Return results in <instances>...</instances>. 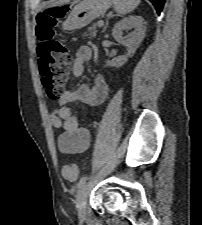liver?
Segmentation results:
<instances>
[{
  "instance_id": "liver-1",
  "label": "liver",
  "mask_w": 202,
  "mask_h": 225,
  "mask_svg": "<svg viewBox=\"0 0 202 225\" xmlns=\"http://www.w3.org/2000/svg\"><path fill=\"white\" fill-rule=\"evenodd\" d=\"M70 0H58L55 5H60L69 2Z\"/></svg>"
}]
</instances>
